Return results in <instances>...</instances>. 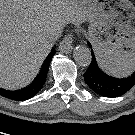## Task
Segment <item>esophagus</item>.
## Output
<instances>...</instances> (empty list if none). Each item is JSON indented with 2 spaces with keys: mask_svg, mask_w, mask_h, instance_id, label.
I'll list each match as a JSON object with an SVG mask.
<instances>
[{
  "mask_svg": "<svg viewBox=\"0 0 135 135\" xmlns=\"http://www.w3.org/2000/svg\"><path fill=\"white\" fill-rule=\"evenodd\" d=\"M72 34H67L64 36L59 44V50L64 53H70L72 51Z\"/></svg>",
  "mask_w": 135,
  "mask_h": 135,
  "instance_id": "1",
  "label": "esophagus"
}]
</instances>
